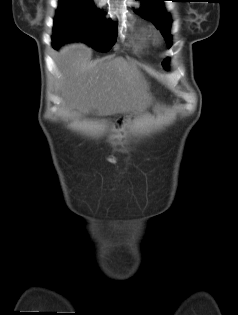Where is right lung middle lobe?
<instances>
[{
    "mask_svg": "<svg viewBox=\"0 0 238 315\" xmlns=\"http://www.w3.org/2000/svg\"><path fill=\"white\" fill-rule=\"evenodd\" d=\"M52 46L81 41L92 48L107 52L116 42L117 26L106 20L93 3L77 0H61L54 19Z\"/></svg>",
    "mask_w": 238,
    "mask_h": 315,
    "instance_id": "right-lung-middle-lobe-1",
    "label": "right lung middle lobe"
}]
</instances>
